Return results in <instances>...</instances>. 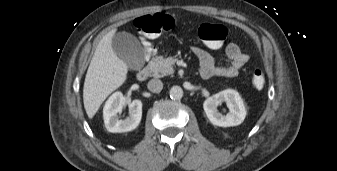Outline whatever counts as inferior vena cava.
<instances>
[{"instance_id":"obj_1","label":"inferior vena cava","mask_w":337,"mask_h":171,"mask_svg":"<svg viewBox=\"0 0 337 171\" xmlns=\"http://www.w3.org/2000/svg\"><path fill=\"white\" fill-rule=\"evenodd\" d=\"M147 87L151 92L159 93L163 89V83L159 79H151Z\"/></svg>"}]
</instances>
